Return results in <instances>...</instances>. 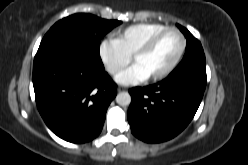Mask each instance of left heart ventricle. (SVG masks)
Returning <instances> with one entry per match:
<instances>
[{
    "mask_svg": "<svg viewBox=\"0 0 248 165\" xmlns=\"http://www.w3.org/2000/svg\"><path fill=\"white\" fill-rule=\"evenodd\" d=\"M180 49V39L174 32L163 34L145 54L134 60L141 65L148 76H154L168 67L177 56Z\"/></svg>",
    "mask_w": 248,
    "mask_h": 165,
    "instance_id": "b2bd125f",
    "label": "left heart ventricle"
}]
</instances>
